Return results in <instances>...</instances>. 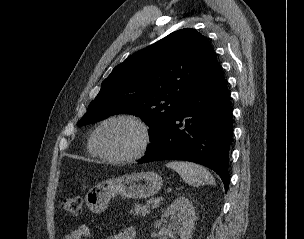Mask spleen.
<instances>
[{
  "label": "spleen",
  "instance_id": "obj_1",
  "mask_svg": "<svg viewBox=\"0 0 304 239\" xmlns=\"http://www.w3.org/2000/svg\"><path fill=\"white\" fill-rule=\"evenodd\" d=\"M166 166L175 170L191 186L215 184L214 177L201 165L184 161H172L168 162Z\"/></svg>",
  "mask_w": 304,
  "mask_h": 239
}]
</instances>
